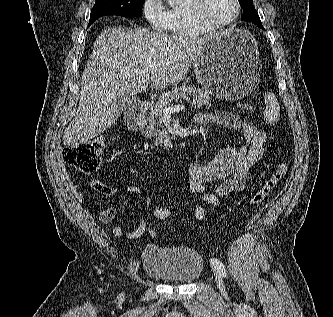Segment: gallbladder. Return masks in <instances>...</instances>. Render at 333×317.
I'll return each instance as SVG.
<instances>
[{"instance_id":"obj_1","label":"gallbladder","mask_w":333,"mask_h":317,"mask_svg":"<svg viewBox=\"0 0 333 317\" xmlns=\"http://www.w3.org/2000/svg\"><path fill=\"white\" fill-rule=\"evenodd\" d=\"M138 98L136 96H122L118 99V104L122 110H130L136 107Z\"/></svg>"}]
</instances>
